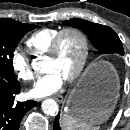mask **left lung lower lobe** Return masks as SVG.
<instances>
[{"label": "left lung lower lobe", "instance_id": "0a47b994", "mask_svg": "<svg viewBox=\"0 0 130 130\" xmlns=\"http://www.w3.org/2000/svg\"><path fill=\"white\" fill-rule=\"evenodd\" d=\"M100 82V77L96 75H89L87 76L83 83H82V91L83 94H87L88 92L92 91ZM59 118L60 114L56 116L55 122H54V130H61L59 125Z\"/></svg>", "mask_w": 130, "mask_h": 130}]
</instances>
